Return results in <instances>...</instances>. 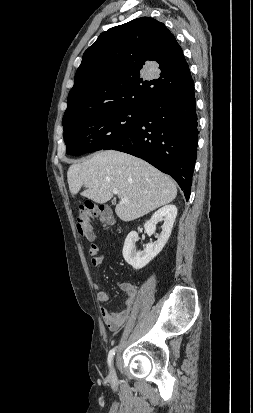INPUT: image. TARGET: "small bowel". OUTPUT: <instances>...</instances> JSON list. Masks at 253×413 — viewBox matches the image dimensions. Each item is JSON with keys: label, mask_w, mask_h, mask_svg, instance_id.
Returning a JSON list of instances; mask_svg holds the SVG:
<instances>
[{"label": "small bowel", "mask_w": 253, "mask_h": 413, "mask_svg": "<svg viewBox=\"0 0 253 413\" xmlns=\"http://www.w3.org/2000/svg\"><path fill=\"white\" fill-rule=\"evenodd\" d=\"M99 251L100 247L97 244H92L89 248V254L91 256L90 262L93 268H98L105 262V256L99 254ZM119 287L126 293L127 296L124 309L120 312H112L103 306L100 308V313L104 323L112 331H116L124 325L129 318L138 298V288L134 284L130 282H120ZM97 289V300L102 304L107 303L110 300L109 294L103 290H100L98 286Z\"/></svg>", "instance_id": "obj_1"}]
</instances>
